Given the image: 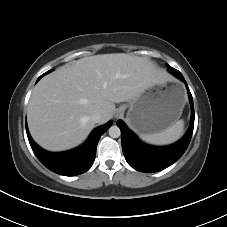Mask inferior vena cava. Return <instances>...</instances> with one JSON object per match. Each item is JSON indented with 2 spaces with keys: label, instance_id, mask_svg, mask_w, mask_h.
<instances>
[{
  "label": "inferior vena cava",
  "instance_id": "obj_1",
  "mask_svg": "<svg viewBox=\"0 0 227 227\" xmlns=\"http://www.w3.org/2000/svg\"><path fill=\"white\" fill-rule=\"evenodd\" d=\"M102 118V114L99 111H96L92 114L91 120L95 123H99Z\"/></svg>",
  "mask_w": 227,
  "mask_h": 227
}]
</instances>
